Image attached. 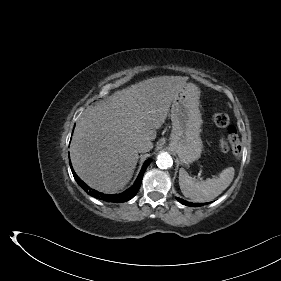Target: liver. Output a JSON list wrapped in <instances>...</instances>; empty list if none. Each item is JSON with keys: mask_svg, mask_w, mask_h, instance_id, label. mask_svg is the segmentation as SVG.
I'll use <instances>...</instances> for the list:
<instances>
[{"mask_svg": "<svg viewBox=\"0 0 281 281\" xmlns=\"http://www.w3.org/2000/svg\"><path fill=\"white\" fill-rule=\"evenodd\" d=\"M187 80L182 76L150 78L88 108L76 124L70 145L77 175L103 193L123 189L139 159L137 144L147 142L148 151L153 148L156 130Z\"/></svg>", "mask_w": 281, "mask_h": 281, "instance_id": "6515ba94", "label": "liver"}]
</instances>
